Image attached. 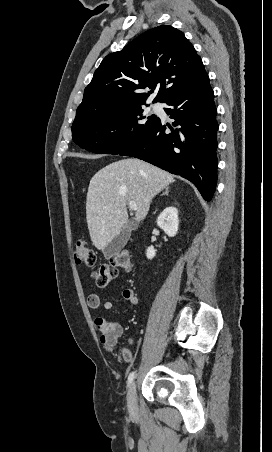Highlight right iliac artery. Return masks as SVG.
Instances as JSON below:
<instances>
[{
    "mask_svg": "<svg viewBox=\"0 0 272 452\" xmlns=\"http://www.w3.org/2000/svg\"><path fill=\"white\" fill-rule=\"evenodd\" d=\"M134 377H135V372H131L130 375H129V377H128V384H131V383H132Z\"/></svg>",
    "mask_w": 272,
    "mask_h": 452,
    "instance_id": "1",
    "label": "right iliac artery"
}]
</instances>
